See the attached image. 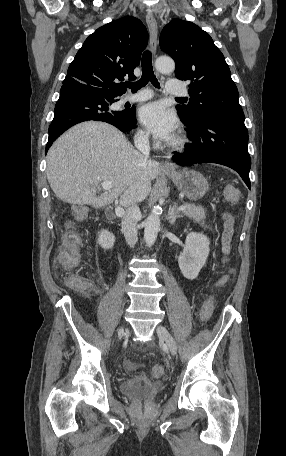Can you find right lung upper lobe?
Returning a JSON list of instances; mask_svg holds the SVG:
<instances>
[{
	"instance_id": "cb5924a9",
	"label": "right lung upper lobe",
	"mask_w": 286,
	"mask_h": 456,
	"mask_svg": "<svg viewBox=\"0 0 286 456\" xmlns=\"http://www.w3.org/2000/svg\"><path fill=\"white\" fill-rule=\"evenodd\" d=\"M147 41L146 27L137 18L107 23L85 40L63 83H80L112 99L121 96L126 88L120 81L136 78L133 71Z\"/></svg>"
}]
</instances>
